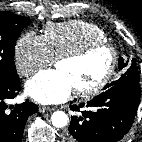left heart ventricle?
Instances as JSON below:
<instances>
[{"label":"left heart ventricle","instance_id":"b2bd125f","mask_svg":"<svg viewBox=\"0 0 142 142\" xmlns=\"http://www.w3.org/2000/svg\"><path fill=\"white\" fill-rule=\"evenodd\" d=\"M110 60L108 50L101 49L79 61H60L56 67L69 76L74 89L85 88L101 79L109 67Z\"/></svg>","mask_w":142,"mask_h":142}]
</instances>
